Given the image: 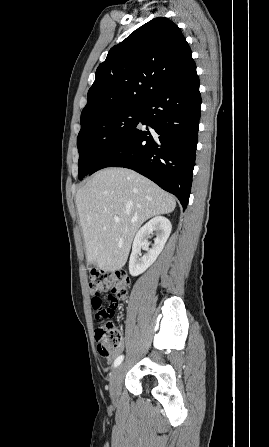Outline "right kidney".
Instances as JSON below:
<instances>
[{
  "label": "right kidney",
  "mask_w": 269,
  "mask_h": 447,
  "mask_svg": "<svg viewBox=\"0 0 269 447\" xmlns=\"http://www.w3.org/2000/svg\"><path fill=\"white\" fill-rule=\"evenodd\" d=\"M171 229V222L167 218H164V216H156V218H152L147 224L140 227L134 237L132 253L129 259V271L131 275L143 273L149 265H152L156 261L171 233ZM150 233H155L156 235L154 243L145 255L139 257L142 245H149L148 235Z\"/></svg>",
  "instance_id": "ca27d5eb"
}]
</instances>
